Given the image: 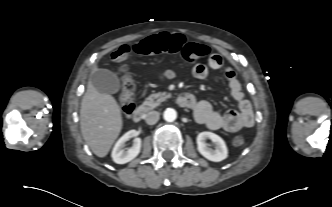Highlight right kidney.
Here are the masks:
<instances>
[{
    "mask_svg": "<svg viewBox=\"0 0 332 207\" xmlns=\"http://www.w3.org/2000/svg\"><path fill=\"white\" fill-rule=\"evenodd\" d=\"M137 135V131L130 130L125 133L115 144L112 150V159L117 164H125L133 160L138 156L141 150V139L135 138L132 147L125 149V142L135 137Z\"/></svg>",
    "mask_w": 332,
    "mask_h": 207,
    "instance_id": "right-kidney-1",
    "label": "right kidney"
}]
</instances>
